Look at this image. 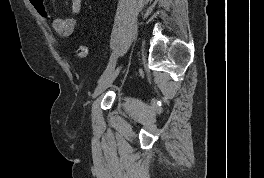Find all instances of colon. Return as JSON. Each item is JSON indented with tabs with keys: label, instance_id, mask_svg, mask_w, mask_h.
<instances>
[{
	"label": "colon",
	"instance_id": "5ec220e1",
	"mask_svg": "<svg viewBox=\"0 0 264 178\" xmlns=\"http://www.w3.org/2000/svg\"><path fill=\"white\" fill-rule=\"evenodd\" d=\"M30 4L36 10V12L43 18L49 19L50 13L45 5V0H29ZM88 53V48L86 45H80L76 50V55L78 58H85Z\"/></svg>",
	"mask_w": 264,
	"mask_h": 178
}]
</instances>
